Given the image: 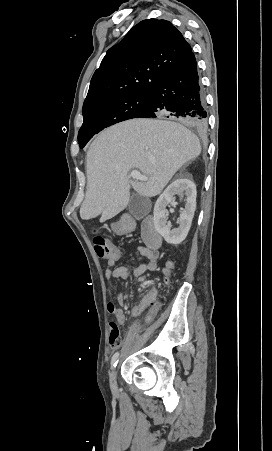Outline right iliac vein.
Listing matches in <instances>:
<instances>
[{
    "mask_svg": "<svg viewBox=\"0 0 272 451\" xmlns=\"http://www.w3.org/2000/svg\"><path fill=\"white\" fill-rule=\"evenodd\" d=\"M116 375H117V373H116L115 370L112 371L111 374H110V380H109V382H110V387H111V389H112L113 391L116 389Z\"/></svg>",
    "mask_w": 272,
    "mask_h": 451,
    "instance_id": "right-iliac-vein-1",
    "label": "right iliac vein"
}]
</instances>
